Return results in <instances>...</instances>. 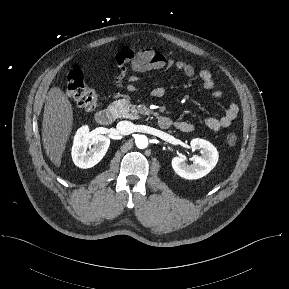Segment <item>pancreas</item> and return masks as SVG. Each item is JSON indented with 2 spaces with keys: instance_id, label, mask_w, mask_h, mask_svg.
<instances>
[{
  "instance_id": "1",
  "label": "pancreas",
  "mask_w": 289,
  "mask_h": 289,
  "mask_svg": "<svg viewBox=\"0 0 289 289\" xmlns=\"http://www.w3.org/2000/svg\"><path fill=\"white\" fill-rule=\"evenodd\" d=\"M116 118L138 119V111L127 99L113 101L108 107Z\"/></svg>"
}]
</instances>
